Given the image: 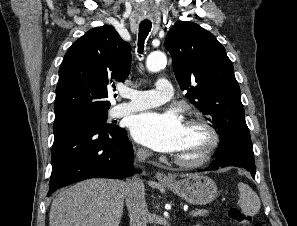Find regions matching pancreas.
Listing matches in <instances>:
<instances>
[{
	"label": "pancreas",
	"instance_id": "cf45deb5",
	"mask_svg": "<svg viewBox=\"0 0 297 226\" xmlns=\"http://www.w3.org/2000/svg\"><path fill=\"white\" fill-rule=\"evenodd\" d=\"M207 214V211L206 210H197L195 211V213L193 214L194 217H197V216H205Z\"/></svg>",
	"mask_w": 297,
	"mask_h": 226
}]
</instances>
